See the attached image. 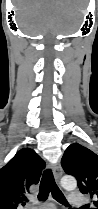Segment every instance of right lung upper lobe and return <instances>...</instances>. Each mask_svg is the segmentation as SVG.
<instances>
[{
    "instance_id": "obj_1",
    "label": "right lung upper lobe",
    "mask_w": 98,
    "mask_h": 209,
    "mask_svg": "<svg viewBox=\"0 0 98 209\" xmlns=\"http://www.w3.org/2000/svg\"><path fill=\"white\" fill-rule=\"evenodd\" d=\"M44 160L30 148L19 150L0 169V209H18L28 201L29 188L39 182Z\"/></svg>"
}]
</instances>
